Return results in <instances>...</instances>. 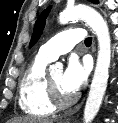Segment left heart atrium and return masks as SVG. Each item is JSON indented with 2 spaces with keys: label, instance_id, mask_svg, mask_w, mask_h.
<instances>
[{
  "label": "left heart atrium",
  "instance_id": "39dd6f15",
  "mask_svg": "<svg viewBox=\"0 0 118 123\" xmlns=\"http://www.w3.org/2000/svg\"><path fill=\"white\" fill-rule=\"evenodd\" d=\"M89 67L76 56H71L63 73V85L72 94L77 92L87 81Z\"/></svg>",
  "mask_w": 118,
  "mask_h": 123
}]
</instances>
